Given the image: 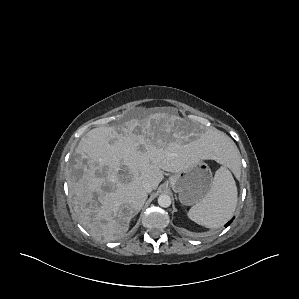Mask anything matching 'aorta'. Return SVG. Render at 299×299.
Listing matches in <instances>:
<instances>
[{
  "label": "aorta",
  "mask_w": 299,
  "mask_h": 299,
  "mask_svg": "<svg viewBox=\"0 0 299 299\" xmlns=\"http://www.w3.org/2000/svg\"><path fill=\"white\" fill-rule=\"evenodd\" d=\"M158 204L161 207L167 208L171 205V198L166 194H162L158 197Z\"/></svg>",
  "instance_id": "762f6f07"
}]
</instances>
